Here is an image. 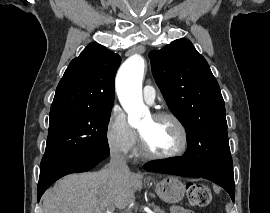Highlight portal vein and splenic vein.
<instances>
[{
	"instance_id": "portal-vein-and-splenic-vein-1",
	"label": "portal vein and splenic vein",
	"mask_w": 270,
	"mask_h": 213,
	"mask_svg": "<svg viewBox=\"0 0 270 213\" xmlns=\"http://www.w3.org/2000/svg\"><path fill=\"white\" fill-rule=\"evenodd\" d=\"M113 211H114V208L112 207V208H110V209H107V211H106L105 213H114ZM152 213H153V212H152Z\"/></svg>"
}]
</instances>
